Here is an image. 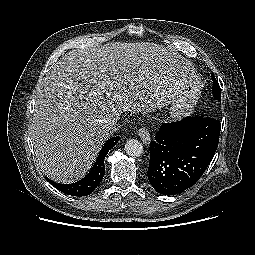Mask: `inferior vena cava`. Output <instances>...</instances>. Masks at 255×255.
<instances>
[{
  "label": "inferior vena cava",
  "mask_w": 255,
  "mask_h": 255,
  "mask_svg": "<svg viewBox=\"0 0 255 255\" xmlns=\"http://www.w3.org/2000/svg\"><path fill=\"white\" fill-rule=\"evenodd\" d=\"M119 119H120V116L114 118V119L111 121L110 129H111L112 131L115 130V124L118 122Z\"/></svg>",
  "instance_id": "602c4592"
}]
</instances>
